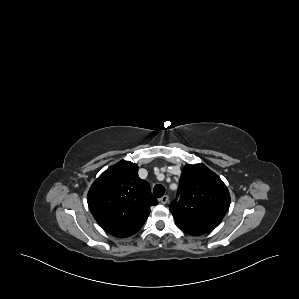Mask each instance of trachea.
Here are the masks:
<instances>
[{
  "mask_svg": "<svg viewBox=\"0 0 299 299\" xmlns=\"http://www.w3.org/2000/svg\"><path fill=\"white\" fill-rule=\"evenodd\" d=\"M153 193L156 197L160 198L165 194V187L161 184H157L153 189Z\"/></svg>",
  "mask_w": 299,
  "mask_h": 299,
  "instance_id": "3493384b",
  "label": "trachea"
}]
</instances>
